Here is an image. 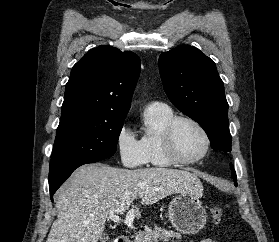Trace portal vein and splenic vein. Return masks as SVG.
<instances>
[{
    "label": "portal vein and splenic vein",
    "instance_id": "obj_1",
    "mask_svg": "<svg viewBox=\"0 0 279 242\" xmlns=\"http://www.w3.org/2000/svg\"><path fill=\"white\" fill-rule=\"evenodd\" d=\"M107 218L110 219L111 221H113L114 223L123 222L127 227L134 229V226H133L134 209H131L128 211L124 220H122L121 217H119L118 215H116L114 213H110Z\"/></svg>",
    "mask_w": 279,
    "mask_h": 242
}]
</instances>
